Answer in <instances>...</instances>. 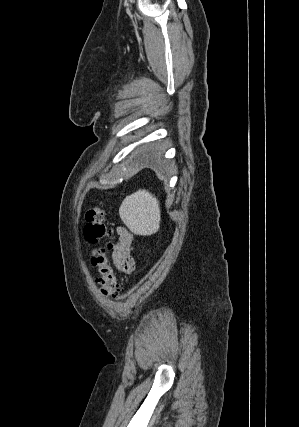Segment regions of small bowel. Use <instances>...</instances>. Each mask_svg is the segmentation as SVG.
Instances as JSON below:
<instances>
[{
  "instance_id": "small-bowel-1",
  "label": "small bowel",
  "mask_w": 299,
  "mask_h": 427,
  "mask_svg": "<svg viewBox=\"0 0 299 427\" xmlns=\"http://www.w3.org/2000/svg\"><path fill=\"white\" fill-rule=\"evenodd\" d=\"M117 233L119 241L112 253V260L116 267L124 273H131L134 270V259L131 256V248L133 243V234L125 227H118ZM97 249L92 250V256L96 255Z\"/></svg>"
}]
</instances>
